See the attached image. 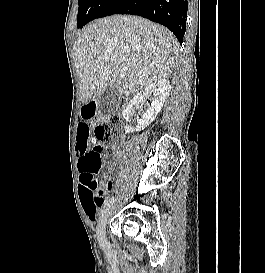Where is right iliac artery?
<instances>
[{"mask_svg":"<svg viewBox=\"0 0 265 273\" xmlns=\"http://www.w3.org/2000/svg\"><path fill=\"white\" fill-rule=\"evenodd\" d=\"M115 200H116L115 197L110 198L109 200H107V201L104 203L103 208L110 207V205H112V204L115 202Z\"/></svg>","mask_w":265,"mask_h":273,"instance_id":"82829eb1","label":"right iliac artery"}]
</instances>
